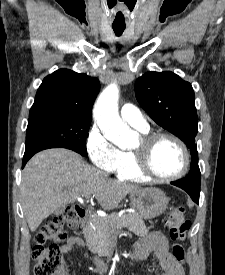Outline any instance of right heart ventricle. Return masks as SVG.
Listing matches in <instances>:
<instances>
[{"label":"right heart ventricle","mask_w":225,"mask_h":275,"mask_svg":"<svg viewBox=\"0 0 225 275\" xmlns=\"http://www.w3.org/2000/svg\"><path fill=\"white\" fill-rule=\"evenodd\" d=\"M142 132H148V129H140ZM135 156L133 152H122V160L120 165L114 171L116 176L123 180L133 182H141L147 180L141 175L135 165Z\"/></svg>","instance_id":"obj_1"}]
</instances>
